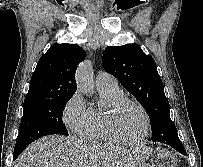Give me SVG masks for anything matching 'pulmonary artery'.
Listing matches in <instances>:
<instances>
[{
    "label": "pulmonary artery",
    "mask_w": 203,
    "mask_h": 167,
    "mask_svg": "<svg viewBox=\"0 0 203 167\" xmlns=\"http://www.w3.org/2000/svg\"><path fill=\"white\" fill-rule=\"evenodd\" d=\"M96 85L97 87L115 86L117 85V81L113 75L105 71H101L96 77Z\"/></svg>",
    "instance_id": "1"
}]
</instances>
